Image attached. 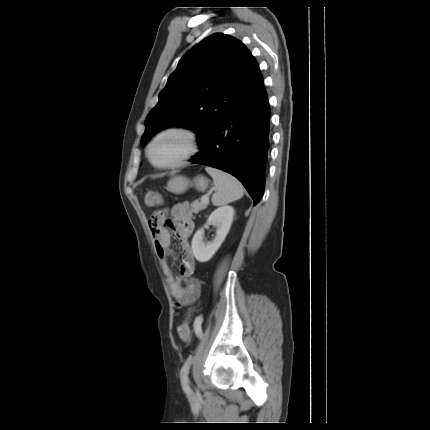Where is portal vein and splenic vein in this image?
<instances>
[{
	"mask_svg": "<svg viewBox=\"0 0 430 430\" xmlns=\"http://www.w3.org/2000/svg\"><path fill=\"white\" fill-rule=\"evenodd\" d=\"M208 199H209V196L208 195H205V196H203L202 197V202H206V201H208Z\"/></svg>",
	"mask_w": 430,
	"mask_h": 430,
	"instance_id": "obj_1",
	"label": "portal vein and splenic vein"
}]
</instances>
